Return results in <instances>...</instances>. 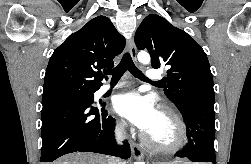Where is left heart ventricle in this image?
Wrapping results in <instances>:
<instances>
[{"instance_id":"b2bd125f","label":"left heart ventricle","mask_w":251,"mask_h":164,"mask_svg":"<svg viewBox=\"0 0 251 164\" xmlns=\"http://www.w3.org/2000/svg\"><path fill=\"white\" fill-rule=\"evenodd\" d=\"M149 134L154 142L165 144L173 139L174 130L170 121L159 114L157 122Z\"/></svg>"}]
</instances>
